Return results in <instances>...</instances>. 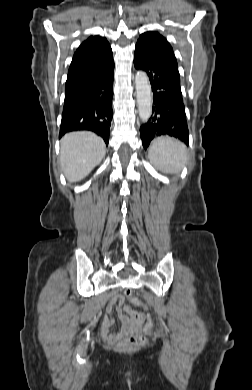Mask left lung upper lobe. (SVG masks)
<instances>
[{
	"instance_id": "obj_1",
	"label": "left lung upper lobe",
	"mask_w": 252,
	"mask_h": 390,
	"mask_svg": "<svg viewBox=\"0 0 252 390\" xmlns=\"http://www.w3.org/2000/svg\"><path fill=\"white\" fill-rule=\"evenodd\" d=\"M150 47L155 52L169 59L175 65H177L176 57L173 53V49L169 42L158 32L148 31L140 35L138 41Z\"/></svg>"
}]
</instances>
